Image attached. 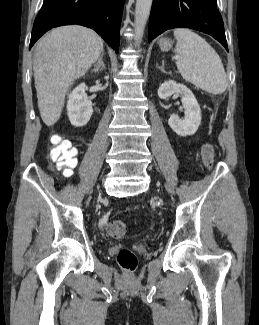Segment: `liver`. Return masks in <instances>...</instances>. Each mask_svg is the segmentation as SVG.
Listing matches in <instances>:
<instances>
[{
  "label": "liver",
  "instance_id": "liver-1",
  "mask_svg": "<svg viewBox=\"0 0 259 325\" xmlns=\"http://www.w3.org/2000/svg\"><path fill=\"white\" fill-rule=\"evenodd\" d=\"M102 52V38L80 25L55 28L37 43L35 88L40 116L47 126L59 120L69 87L86 74Z\"/></svg>",
  "mask_w": 259,
  "mask_h": 325
}]
</instances>
